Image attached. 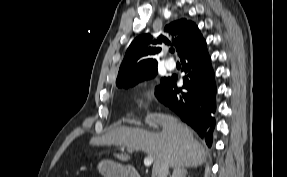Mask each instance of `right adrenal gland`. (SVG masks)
<instances>
[{
    "instance_id": "1",
    "label": "right adrenal gland",
    "mask_w": 287,
    "mask_h": 177,
    "mask_svg": "<svg viewBox=\"0 0 287 177\" xmlns=\"http://www.w3.org/2000/svg\"><path fill=\"white\" fill-rule=\"evenodd\" d=\"M187 169L184 167H177L173 169L170 177H186Z\"/></svg>"
}]
</instances>
